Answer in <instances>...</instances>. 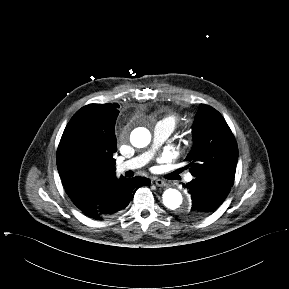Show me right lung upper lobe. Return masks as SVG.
Instances as JSON below:
<instances>
[{"label":"right lung upper lobe","instance_id":"cb5924a9","mask_svg":"<svg viewBox=\"0 0 289 289\" xmlns=\"http://www.w3.org/2000/svg\"><path fill=\"white\" fill-rule=\"evenodd\" d=\"M116 151L117 147L103 155L74 152L64 131L57 149V168L68 196L81 211L95 209L101 192L124 178L118 179L115 174Z\"/></svg>","mask_w":289,"mask_h":289}]
</instances>
